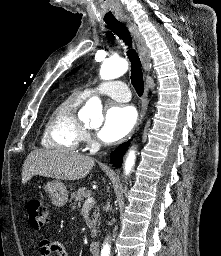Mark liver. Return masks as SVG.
<instances>
[{
	"label": "liver",
	"instance_id": "6515ba94",
	"mask_svg": "<svg viewBox=\"0 0 221 256\" xmlns=\"http://www.w3.org/2000/svg\"><path fill=\"white\" fill-rule=\"evenodd\" d=\"M94 159L61 149H39L26 158L22 169V183L40 175L61 180H79L90 172Z\"/></svg>",
	"mask_w": 221,
	"mask_h": 256
}]
</instances>
